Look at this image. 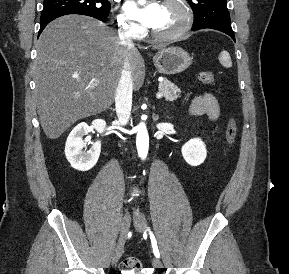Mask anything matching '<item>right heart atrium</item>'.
Masks as SVG:
<instances>
[{
	"mask_svg": "<svg viewBox=\"0 0 289 274\" xmlns=\"http://www.w3.org/2000/svg\"><path fill=\"white\" fill-rule=\"evenodd\" d=\"M116 21L120 31L126 35L136 37L141 32L139 25L134 23L123 13L118 12L116 14Z\"/></svg>",
	"mask_w": 289,
	"mask_h": 274,
	"instance_id": "1",
	"label": "right heart atrium"
}]
</instances>
